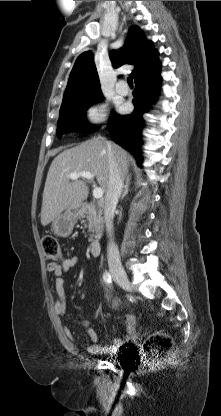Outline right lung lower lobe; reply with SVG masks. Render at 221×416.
<instances>
[{
  "instance_id": "1",
  "label": "right lung lower lobe",
  "mask_w": 221,
  "mask_h": 416,
  "mask_svg": "<svg viewBox=\"0 0 221 416\" xmlns=\"http://www.w3.org/2000/svg\"><path fill=\"white\" fill-rule=\"evenodd\" d=\"M161 84L160 68L153 73L135 79L134 111L130 115L113 114L108 129L113 140L130 151L141 165L140 131L144 125L143 115L149 111L158 96Z\"/></svg>"
}]
</instances>
